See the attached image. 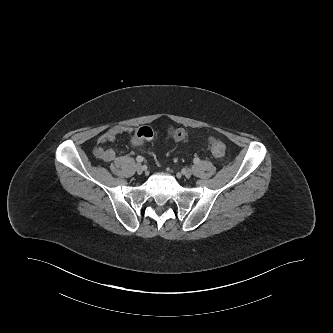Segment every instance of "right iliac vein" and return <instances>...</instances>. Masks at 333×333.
Here are the masks:
<instances>
[{
  "label": "right iliac vein",
  "mask_w": 333,
  "mask_h": 333,
  "mask_svg": "<svg viewBox=\"0 0 333 333\" xmlns=\"http://www.w3.org/2000/svg\"><path fill=\"white\" fill-rule=\"evenodd\" d=\"M136 171H137L138 174H142L143 171H144V167H143V165L140 164V163H138V164L136 165Z\"/></svg>",
  "instance_id": "63e3f726"
}]
</instances>
